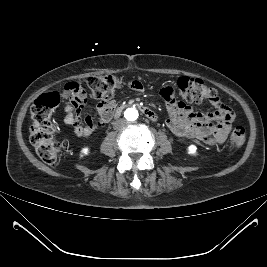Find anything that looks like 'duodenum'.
<instances>
[{
    "instance_id": "duodenum-1",
    "label": "duodenum",
    "mask_w": 267,
    "mask_h": 267,
    "mask_svg": "<svg viewBox=\"0 0 267 267\" xmlns=\"http://www.w3.org/2000/svg\"><path fill=\"white\" fill-rule=\"evenodd\" d=\"M124 107H125V105L118 106L116 109L113 110L111 116L112 117H118L121 114V112L124 109ZM141 110L149 119H151V120H156L157 119L156 113L152 109H150L149 107L142 106Z\"/></svg>"
}]
</instances>
